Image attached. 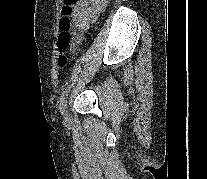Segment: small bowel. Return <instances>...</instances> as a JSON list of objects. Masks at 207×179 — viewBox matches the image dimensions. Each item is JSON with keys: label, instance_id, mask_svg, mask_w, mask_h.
<instances>
[{"label": "small bowel", "instance_id": "c3829d8e", "mask_svg": "<svg viewBox=\"0 0 207 179\" xmlns=\"http://www.w3.org/2000/svg\"><path fill=\"white\" fill-rule=\"evenodd\" d=\"M109 0H80L74 12L75 39L72 49H75L90 25L106 9Z\"/></svg>", "mask_w": 207, "mask_h": 179}]
</instances>
